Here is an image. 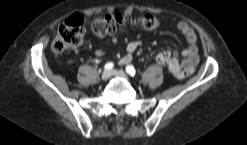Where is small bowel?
Here are the masks:
<instances>
[{
  "label": "small bowel",
  "mask_w": 247,
  "mask_h": 145,
  "mask_svg": "<svg viewBox=\"0 0 247 145\" xmlns=\"http://www.w3.org/2000/svg\"><path fill=\"white\" fill-rule=\"evenodd\" d=\"M177 28L185 37L187 46L180 52V55L182 56L181 60L178 58L177 52H165L170 58L169 63L166 65L172 74L193 72L199 62L198 49L196 45L197 36L192 27L185 21L178 22ZM110 40L112 44H116L118 42L117 36H112ZM141 44L142 42L140 40L130 41L126 46V53L120 59L119 64L127 65L130 63ZM104 54L105 52L102 49H98L96 51V55L98 57H102Z\"/></svg>",
  "instance_id": "c3829d8e"
}]
</instances>
